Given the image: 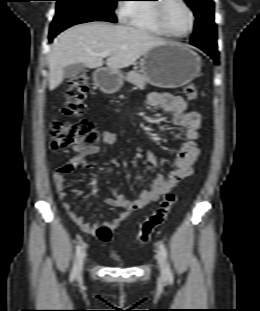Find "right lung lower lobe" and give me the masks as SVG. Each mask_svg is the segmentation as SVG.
Wrapping results in <instances>:
<instances>
[{"label":"right lung lower lobe","instance_id":"right-lung-lower-lobe-1","mask_svg":"<svg viewBox=\"0 0 260 311\" xmlns=\"http://www.w3.org/2000/svg\"><path fill=\"white\" fill-rule=\"evenodd\" d=\"M85 22H89V21L66 19V20H62L59 23L52 22L50 33H49V41L51 42L58 33L65 30L66 28L79 24V23H85Z\"/></svg>","mask_w":260,"mask_h":311}]
</instances>
